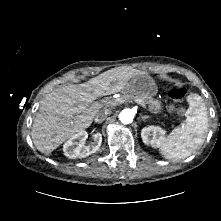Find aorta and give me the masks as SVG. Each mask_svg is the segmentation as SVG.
<instances>
[{
  "mask_svg": "<svg viewBox=\"0 0 221 221\" xmlns=\"http://www.w3.org/2000/svg\"><path fill=\"white\" fill-rule=\"evenodd\" d=\"M134 118V112L129 109H123L119 114V119L123 124H129L133 121Z\"/></svg>",
  "mask_w": 221,
  "mask_h": 221,
  "instance_id": "aorta-1",
  "label": "aorta"
}]
</instances>
